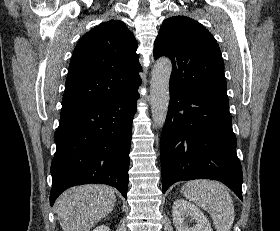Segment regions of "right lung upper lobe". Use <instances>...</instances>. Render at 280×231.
<instances>
[{
    "mask_svg": "<svg viewBox=\"0 0 280 231\" xmlns=\"http://www.w3.org/2000/svg\"><path fill=\"white\" fill-rule=\"evenodd\" d=\"M136 50L133 33L120 20L83 35L69 64L61 113L137 90L142 68Z\"/></svg>",
    "mask_w": 280,
    "mask_h": 231,
    "instance_id": "1",
    "label": "right lung upper lobe"
}]
</instances>
